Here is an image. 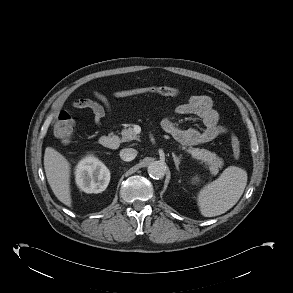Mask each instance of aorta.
<instances>
[{
  "label": "aorta",
  "instance_id": "762f6f07",
  "mask_svg": "<svg viewBox=\"0 0 293 293\" xmlns=\"http://www.w3.org/2000/svg\"><path fill=\"white\" fill-rule=\"evenodd\" d=\"M147 171L153 179H162L165 175V166L159 161H154L149 164Z\"/></svg>",
  "mask_w": 293,
  "mask_h": 293
}]
</instances>
